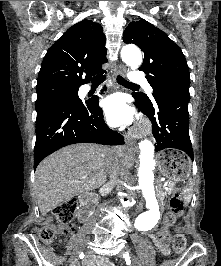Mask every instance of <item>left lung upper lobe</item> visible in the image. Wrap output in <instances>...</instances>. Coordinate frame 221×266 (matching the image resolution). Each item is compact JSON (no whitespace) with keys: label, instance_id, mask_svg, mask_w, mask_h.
I'll use <instances>...</instances> for the list:
<instances>
[{"label":"left lung upper lobe","instance_id":"5c2ea615","mask_svg":"<svg viewBox=\"0 0 221 266\" xmlns=\"http://www.w3.org/2000/svg\"><path fill=\"white\" fill-rule=\"evenodd\" d=\"M123 40L137 45L144 52L140 70L146 73V79L153 88V101L143 93H134L137 98L149 106H153L160 96L189 102V68L181 49L166 33L141 19L129 23Z\"/></svg>","mask_w":221,"mask_h":266}]
</instances>
